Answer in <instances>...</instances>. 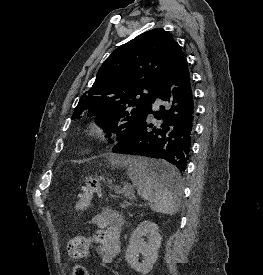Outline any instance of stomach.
<instances>
[{
  "label": "stomach",
  "mask_w": 263,
  "mask_h": 275,
  "mask_svg": "<svg viewBox=\"0 0 263 275\" xmlns=\"http://www.w3.org/2000/svg\"><path fill=\"white\" fill-rule=\"evenodd\" d=\"M124 159H126V158H120V162H121V160H124ZM119 193H123V194H125V196H129L130 195V191L129 190L119 191Z\"/></svg>",
  "instance_id": "0dacf381"
}]
</instances>
